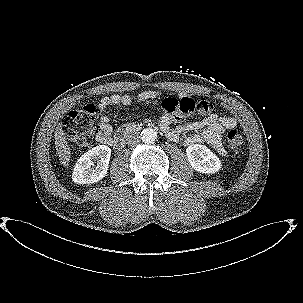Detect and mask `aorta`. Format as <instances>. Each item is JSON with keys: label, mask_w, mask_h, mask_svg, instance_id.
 Returning a JSON list of instances; mask_svg holds the SVG:
<instances>
[{"label": "aorta", "mask_w": 303, "mask_h": 303, "mask_svg": "<svg viewBox=\"0 0 303 303\" xmlns=\"http://www.w3.org/2000/svg\"><path fill=\"white\" fill-rule=\"evenodd\" d=\"M140 138L145 143H153L157 139V131L153 128H145L141 131Z\"/></svg>", "instance_id": "aorta-1"}]
</instances>
